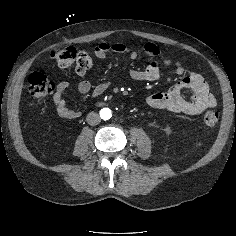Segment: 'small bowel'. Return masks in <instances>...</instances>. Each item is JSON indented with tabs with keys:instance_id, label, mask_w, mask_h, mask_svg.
Masks as SVG:
<instances>
[{
	"instance_id": "1",
	"label": "small bowel",
	"mask_w": 236,
	"mask_h": 236,
	"mask_svg": "<svg viewBox=\"0 0 236 236\" xmlns=\"http://www.w3.org/2000/svg\"><path fill=\"white\" fill-rule=\"evenodd\" d=\"M143 50L152 57V60L144 69L131 68L129 74L132 79L147 82L157 80L160 76L161 64L172 66L175 73L181 77L168 92L155 93L148 96L146 98V103L149 107L167 110L176 114L197 115L208 108L216 106V99L210 93L209 86L202 75L196 72L185 74L184 65L181 62L173 61L170 58H163L160 60V49L152 42L144 43ZM109 52L125 54L131 60H135L138 56L136 50L120 42H101L94 48V54L100 60L106 59ZM69 87L70 84L68 82H60L57 85L56 92L53 96L58 115L66 119L76 118L80 115L78 110L68 107L65 101L64 94ZM108 87L109 84L107 82L101 83L93 89L92 93L93 95H100L104 93ZM78 90L82 94H88L92 90L91 82L88 80L80 81ZM184 90H190L192 92V97L189 99L184 98L182 94Z\"/></svg>"
}]
</instances>
